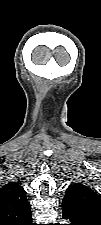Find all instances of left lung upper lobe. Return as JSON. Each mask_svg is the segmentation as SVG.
<instances>
[{"label":"left lung upper lobe","mask_w":101,"mask_h":225,"mask_svg":"<svg viewBox=\"0 0 101 225\" xmlns=\"http://www.w3.org/2000/svg\"><path fill=\"white\" fill-rule=\"evenodd\" d=\"M62 209L65 213L101 222V200L92 189L82 184L67 188Z\"/></svg>","instance_id":"left-lung-upper-lobe-1"}]
</instances>
